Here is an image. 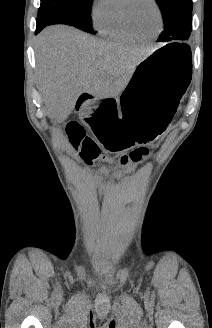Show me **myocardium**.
Instances as JSON below:
<instances>
[{"label":"myocardium","mask_w":212,"mask_h":328,"mask_svg":"<svg viewBox=\"0 0 212 328\" xmlns=\"http://www.w3.org/2000/svg\"><path fill=\"white\" fill-rule=\"evenodd\" d=\"M136 2V0H126L125 3V7H124V14H125V19L127 24L129 25V27L137 34H140L142 32V30L137 26V24L134 21L133 18V14H132V9H133V5ZM150 2L153 4V6L155 7L158 16H159V28L156 30V34L160 33L163 25H164V17H163V13L162 10L160 8L159 3L157 2V0H150Z\"/></svg>","instance_id":"myocardium-1"}]
</instances>
